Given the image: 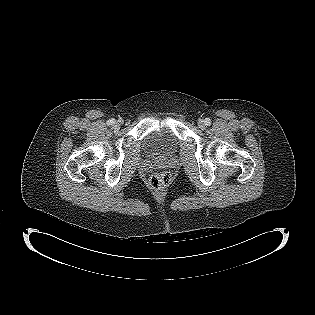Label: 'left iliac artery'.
Returning a JSON list of instances; mask_svg holds the SVG:
<instances>
[{
  "label": "left iliac artery",
  "mask_w": 315,
  "mask_h": 315,
  "mask_svg": "<svg viewBox=\"0 0 315 315\" xmlns=\"http://www.w3.org/2000/svg\"><path fill=\"white\" fill-rule=\"evenodd\" d=\"M204 122H205V124H206L207 126H209V125L211 124L210 118H206Z\"/></svg>",
  "instance_id": "obj_1"
}]
</instances>
